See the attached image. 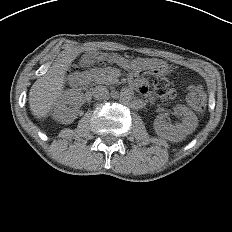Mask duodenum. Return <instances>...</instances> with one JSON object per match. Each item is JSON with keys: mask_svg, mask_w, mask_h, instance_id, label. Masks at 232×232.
I'll return each mask as SVG.
<instances>
[{"mask_svg": "<svg viewBox=\"0 0 232 232\" xmlns=\"http://www.w3.org/2000/svg\"><path fill=\"white\" fill-rule=\"evenodd\" d=\"M87 81H88V77H86V76H78V77H76L74 79L73 85H74L75 88L80 89L84 85H86Z\"/></svg>", "mask_w": 232, "mask_h": 232, "instance_id": "1", "label": "duodenum"}]
</instances>
